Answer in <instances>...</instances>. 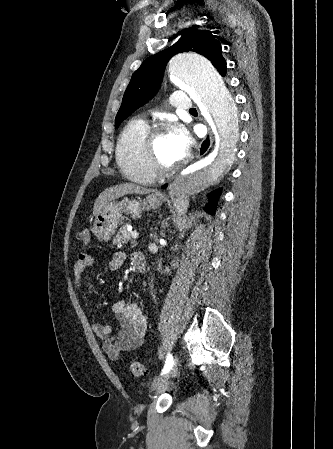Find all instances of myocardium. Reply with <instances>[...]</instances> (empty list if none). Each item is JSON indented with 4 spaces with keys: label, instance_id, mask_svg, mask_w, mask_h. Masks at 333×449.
Returning a JSON list of instances; mask_svg holds the SVG:
<instances>
[{
    "label": "myocardium",
    "instance_id": "1",
    "mask_svg": "<svg viewBox=\"0 0 333 449\" xmlns=\"http://www.w3.org/2000/svg\"><path fill=\"white\" fill-rule=\"evenodd\" d=\"M166 132V127L163 124H156L148 129V132L142 143L143 156L146 166L155 178H162L171 175L179 167V164L167 167L163 165L155 151V141L163 133Z\"/></svg>",
    "mask_w": 333,
    "mask_h": 449
}]
</instances>
